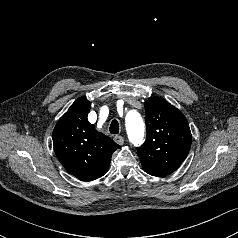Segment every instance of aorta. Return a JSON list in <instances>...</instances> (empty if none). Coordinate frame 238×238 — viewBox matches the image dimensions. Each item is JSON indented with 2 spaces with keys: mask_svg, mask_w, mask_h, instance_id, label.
<instances>
[{
  "mask_svg": "<svg viewBox=\"0 0 238 238\" xmlns=\"http://www.w3.org/2000/svg\"><path fill=\"white\" fill-rule=\"evenodd\" d=\"M126 130L131 143L138 146L143 142L145 125L140 114L134 110L127 112L125 117Z\"/></svg>",
  "mask_w": 238,
  "mask_h": 238,
  "instance_id": "1",
  "label": "aorta"
}]
</instances>
